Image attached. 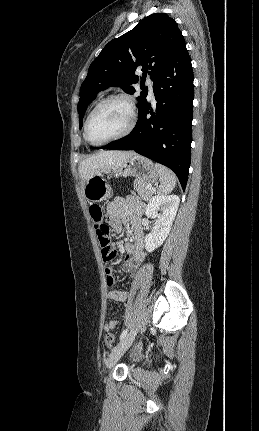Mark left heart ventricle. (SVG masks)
I'll list each match as a JSON object with an SVG mask.
<instances>
[{"label": "left heart ventricle", "mask_w": 259, "mask_h": 431, "mask_svg": "<svg viewBox=\"0 0 259 431\" xmlns=\"http://www.w3.org/2000/svg\"><path fill=\"white\" fill-rule=\"evenodd\" d=\"M130 113L122 100H111L93 115L89 135L95 142L105 141L121 133L129 124Z\"/></svg>", "instance_id": "left-heart-ventricle-1"}]
</instances>
